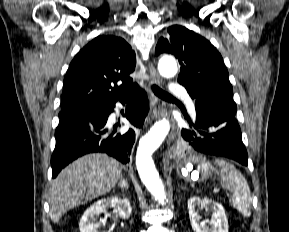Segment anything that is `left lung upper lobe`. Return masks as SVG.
<instances>
[{"mask_svg": "<svg viewBox=\"0 0 289 232\" xmlns=\"http://www.w3.org/2000/svg\"><path fill=\"white\" fill-rule=\"evenodd\" d=\"M155 53H171L181 64L178 83L183 85L193 100L210 102L236 113L232 85L222 56L204 37L179 25L167 29Z\"/></svg>", "mask_w": 289, "mask_h": 232, "instance_id": "1", "label": "left lung upper lobe"}]
</instances>
